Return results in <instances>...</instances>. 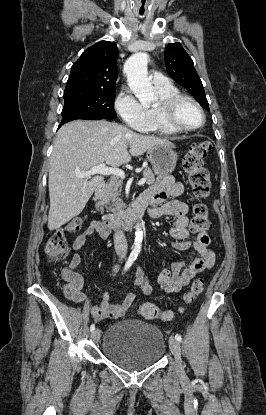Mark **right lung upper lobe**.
<instances>
[{"label":"right lung upper lobe","instance_id":"obj_1","mask_svg":"<svg viewBox=\"0 0 266 415\" xmlns=\"http://www.w3.org/2000/svg\"><path fill=\"white\" fill-rule=\"evenodd\" d=\"M117 56L115 42L100 41L86 49L73 64L64 92L80 89H115Z\"/></svg>","mask_w":266,"mask_h":415}]
</instances>
